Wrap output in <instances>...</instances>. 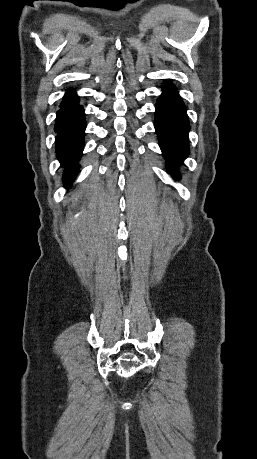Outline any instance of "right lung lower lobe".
I'll return each mask as SVG.
<instances>
[{
  "instance_id": "98d812e1",
  "label": "right lung lower lobe",
  "mask_w": 257,
  "mask_h": 459,
  "mask_svg": "<svg viewBox=\"0 0 257 459\" xmlns=\"http://www.w3.org/2000/svg\"><path fill=\"white\" fill-rule=\"evenodd\" d=\"M78 96L70 90L63 97L55 122L56 153L65 168L64 181H73L78 172L79 161L84 146L85 118L83 107L78 105Z\"/></svg>"
}]
</instances>
